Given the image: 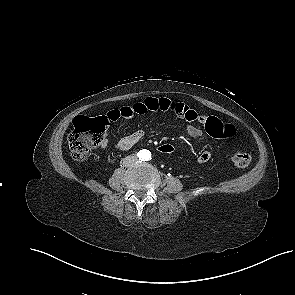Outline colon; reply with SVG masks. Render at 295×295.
I'll list each match as a JSON object with an SVG mask.
<instances>
[{
	"instance_id": "colon-1",
	"label": "colon",
	"mask_w": 295,
	"mask_h": 295,
	"mask_svg": "<svg viewBox=\"0 0 295 295\" xmlns=\"http://www.w3.org/2000/svg\"><path fill=\"white\" fill-rule=\"evenodd\" d=\"M107 120L103 116L88 117L78 116L73 121V130L68 136V144L71 156L74 160H84L90 151L99 146L105 135ZM209 134L218 138H230L235 136L236 129L230 124L211 119L205 126ZM157 149L160 153L171 156L176 148L173 144L162 141ZM251 157L248 153L238 151L232 156V162L238 169H244L250 164Z\"/></svg>"
}]
</instances>
